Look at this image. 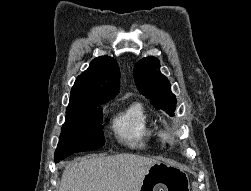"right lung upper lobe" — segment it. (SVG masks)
I'll use <instances>...</instances> for the list:
<instances>
[{
    "label": "right lung upper lobe",
    "mask_w": 251,
    "mask_h": 191,
    "mask_svg": "<svg viewBox=\"0 0 251 191\" xmlns=\"http://www.w3.org/2000/svg\"><path fill=\"white\" fill-rule=\"evenodd\" d=\"M119 79V67L113 58H95L89 68L76 79L67 111L106 103L118 93Z\"/></svg>",
    "instance_id": "1"
}]
</instances>
